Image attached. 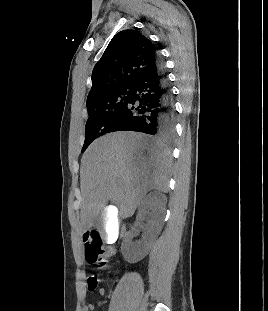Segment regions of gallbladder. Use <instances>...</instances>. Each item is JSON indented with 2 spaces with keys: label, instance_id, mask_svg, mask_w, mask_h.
<instances>
[{
  "label": "gallbladder",
  "instance_id": "gallbladder-1",
  "mask_svg": "<svg viewBox=\"0 0 268 311\" xmlns=\"http://www.w3.org/2000/svg\"><path fill=\"white\" fill-rule=\"evenodd\" d=\"M118 210L116 203L110 202L105 209H102L100 217L95 222L100 234H103V239H106V246H113L114 240L120 237Z\"/></svg>",
  "mask_w": 268,
  "mask_h": 311
}]
</instances>
